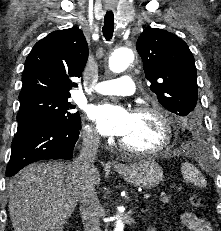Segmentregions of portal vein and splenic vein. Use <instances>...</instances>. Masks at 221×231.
Here are the masks:
<instances>
[{"mask_svg":"<svg viewBox=\"0 0 221 231\" xmlns=\"http://www.w3.org/2000/svg\"><path fill=\"white\" fill-rule=\"evenodd\" d=\"M143 197H144V199H148L151 197V194H144Z\"/></svg>","mask_w":221,"mask_h":231,"instance_id":"portal-vein-and-splenic-vein-1","label":"portal vein and splenic vein"}]
</instances>
